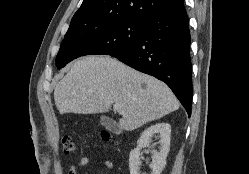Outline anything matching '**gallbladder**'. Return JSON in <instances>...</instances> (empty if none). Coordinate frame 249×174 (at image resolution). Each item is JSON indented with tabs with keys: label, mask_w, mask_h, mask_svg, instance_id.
<instances>
[{
	"label": "gallbladder",
	"mask_w": 249,
	"mask_h": 174,
	"mask_svg": "<svg viewBox=\"0 0 249 174\" xmlns=\"http://www.w3.org/2000/svg\"><path fill=\"white\" fill-rule=\"evenodd\" d=\"M100 121H101V124L104 125L106 128H108L109 130H111L113 132L120 131L119 125L115 121L110 119L109 117L102 116L100 118Z\"/></svg>",
	"instance_id": "gallbladder-1"
}]
</instances>
